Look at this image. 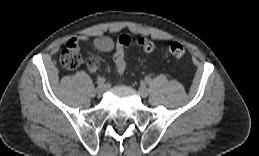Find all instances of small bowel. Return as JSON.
<instances>
[{"label": "small bowel", "instance_id": "c3829d8e", "mask_svg": "<svg viewBox=\"0 0 259 156\" xmlns=\"http://www.w3.org/2000/svg\"><path fill=\"white\" fill-rule=\"evenodd\" d=\"M90 43H93L95 48L102 52H110L115 47L113 39L108 36H98L93 41L88 36H76L68 40L66 46L78 50L79 45H89ZM87 66L91 72H95L98 69L99 63L95 58H91Z\"/></svg>", "mask_w": 259, "mask_h": 156}]
</instances>
